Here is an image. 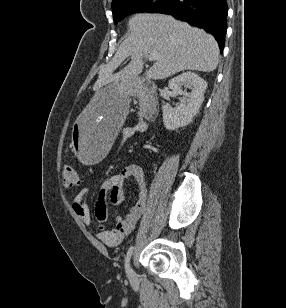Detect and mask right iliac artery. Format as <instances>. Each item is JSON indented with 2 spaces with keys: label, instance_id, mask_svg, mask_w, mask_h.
Masks as SVG:
<instances>
[{
  "label": "right iliac artery",
  "instance_id": "82829eb1",
  "mask_svg": "<svg viewBox=\"0 0 286 308\" xmlns=\"http://www.w3.org/2000/svg\"><path fill=\"white\" fill-rule=\"evenodd\" d=\"M133 246H131L128 251H127V254H126V258H125V270H126V273L128 274L129 276V273H130V258H131V255L133 253Z\"/></svg>",
  "mask_w": 286,
  "mask_h": 308
}]
</instances>
